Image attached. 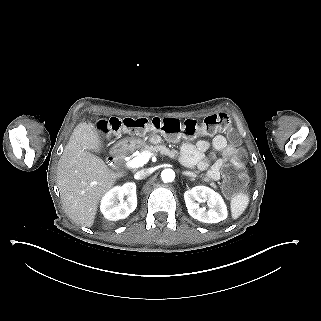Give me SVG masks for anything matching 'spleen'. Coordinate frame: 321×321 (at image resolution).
I'll return each mask as SVG.
<instances>
[{
	"instance_id": "1",
	"label": "spleen",
	"mask_w": 321,
	"mask_h": 321,
	"mask_svg": "<svg viewBox=\"0 0 321 321\" xmlns=\"http://www.w3.org/2000/svg\"><path fill=\"white\" fill-rule=\"evenodd\" d=\"M250 200L248 191H239L230 198V214L231 219H238L241 214L246 210Z\"/></svg>"
}]
</instances>
